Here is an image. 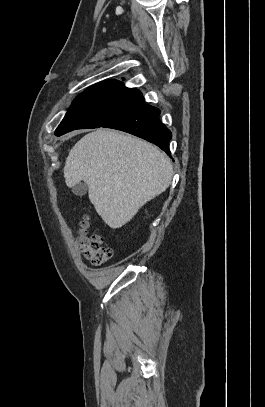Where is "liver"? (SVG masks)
I'll list each match as a JSON object with an SVG mask.
<instances>
[{"label": "liver", "instance_id": "obj_1", "mask_svg": "<svg viewBox=\"0 0 265 407\" xmlns=\"http://www.w3.org/2000/svg\"><path fill=\"white\" fill-rule=\"evenodd\" d=\"M68 187L84 181L89 200L112 229L121 228L171 183L173 168L157 147L131 135L100 128L70 150L64 166Z\"/></svg>", "mask_w": 265, "mask_h": 407}]
</instances>
